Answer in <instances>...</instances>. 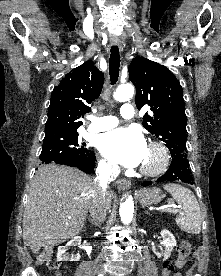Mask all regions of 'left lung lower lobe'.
Here are the masks:
<instances>
[{
    "label": "left lung lower lobe",
    "mask_w": 221,
    "mask_h": 276,
    "mask_svg": "<svg viewBox=\"0 0 221 276\" xmlns=\"http://www.w3.org/2000/svg\"><path fill=\"white\" fill-rule=\"evenodd\" d=\"M168 171L157 179V182L163 181H183L185 183L193 184L191 176V169L187 157L173 156ZM151 181L144 182L143 186L151 185Z\"/></svg>",
    "instance_id": "obj_1"
}]
</instances>
